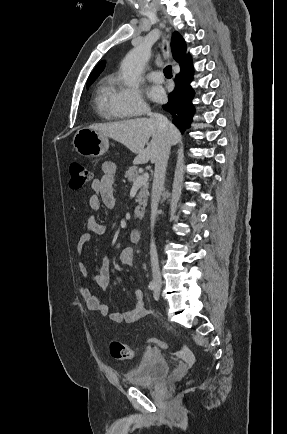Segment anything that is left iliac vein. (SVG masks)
Instances as JSON below:
<instances>
[{
  "label": "left iliac vein",
  "mask_w": 287,
  "mask_h": 434,
  "mask_svg": "<svg viewBox=\"0 0 287 434\" xmlns=\"http://www.w3.org/2000/svg\"><path fill=\"white\" fill-rule=\"evenodd\" d=\"M159 295H160L159 288H157V289L155 290V292H154V299H155V300H158V299H159Z\"/></svg>",
  "instance_id": "left-iliac-vein-1"
}]
</instances>
